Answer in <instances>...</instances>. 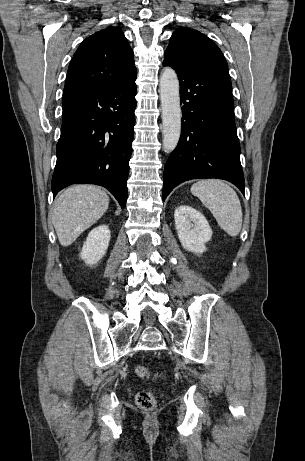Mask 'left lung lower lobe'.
<instances>
[{
  "label": "left lung lower lobe",
  "mask_w": 305,
  "mask_h": 461,
  "mask_svg": "<svg viewBox=\"0 0 305 461\" xmlns=\"http://www.w3.org/2000/svg\"><path fill=\"white\" fill-rule=\"evenodd\" d=\"M163 65L178 75L183 110L180 140L164 169L163 200L180 183L199 178L228 180L244 194L228 70Z\"/></svg>",
  "instance_id": "1"
}]
</instances>
